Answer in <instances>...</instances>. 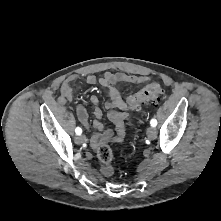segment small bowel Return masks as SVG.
<instances>
[{"mask_svg": "<svg viewBox=\"0 0 221 221\" xmlns=\"http://www.w3.org/2000/svg\"><path fill=\"white\" fill-rule=\"evenodd\" d=\"M78 80L77 76H70L67 78L62 86L59 96V102L61 104L66 103L71 100L75 88L74 83ZM85 81L89 85L100 84L108 94V100L105 103V108L108 110V118L115 125V132L111 129H104L101 122L103 112L99 106V99L96 95L90 97V101L94 106L95 120L93 121V128L96 130L92 134L90 139V145L93 149L99 148L103 143L106 142H120L124 139L126 134V124L125 121L128 119V104L122 98L121 93L116 87L117 83H132L141 84L148 81V77L140 76L135 74H126L124 72H105L100 78L95 75H87ZM77 116L79 121L85 126H89L88 113L84 106H77Z\"/></svg>", "mask_w": 221, "mask_h": 221, "instance_id": "c3829d8e", "label": "small bowel"}]
</instances>
